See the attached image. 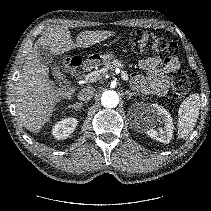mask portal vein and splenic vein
Segmentation results:
<instances>
[{"label":"portal vein and splenic vein","instance_id":"1","mask_svg":"<svg viewBox=\"0 0 211 211\" xmlns=\"http://www.w3.org/2000/svg\"><path fill=\"white\" fill-rule=\"evenodd\" d=\"M100 76V72H92L86 75L85 79L90 81H95ZM121 77L124 81H128V75L125 73V71H121Z\"/></svg>","mask_w":211,"mask_h":211}]
</instances>
